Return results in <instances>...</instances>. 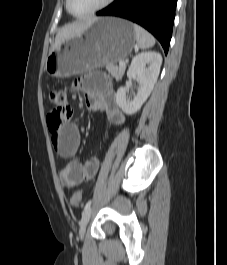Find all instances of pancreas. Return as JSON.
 Segmentation results:
<instances>
[{"label": "pancreas", "mask_w": 227, "mask_h": 265, "mask_svg": "<svg viewBox=\"0 0 227 265\" xmlns=\"http://www.w3.org/2000/svg\"><path fill=\"white\" fill-rule=\"evenodd\" d=\"M125 66L124 67H120V66H116V65H112V64H108L106 66L107 71L114 76L117 80L121 79L124 72H125Z\"/></svg>", "instance_id": "obj_1"}]
</instances>
